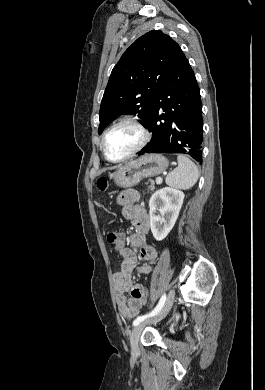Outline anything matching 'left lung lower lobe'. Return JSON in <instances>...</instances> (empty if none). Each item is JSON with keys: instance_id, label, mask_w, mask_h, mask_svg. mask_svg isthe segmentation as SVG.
<instances>
[{"instance_id": "left-lung-lower-lobe-1", "label": "left lung lower lobe", "mask_w": 265, "mask_h": 390, "mask_svg": "<svg viewBox=\"0 0 265 390\" xmlns=\"http://www.w3.org/2000/svg\"><path fill=\"white\" fill-rule=\"evenodd\" d=\"M161 110L163 113H161ZM151 141L138 153L187 154L202 163V104L195 74L184 54L154 98Z\"/></svg>"}]
</instances>
